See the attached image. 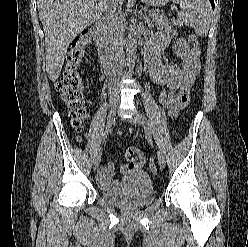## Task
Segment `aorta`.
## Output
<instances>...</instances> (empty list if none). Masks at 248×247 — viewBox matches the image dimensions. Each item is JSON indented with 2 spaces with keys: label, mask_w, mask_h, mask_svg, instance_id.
<instances>
[{
  "label": "aorta",
  "mask_w": 248,
  "mask_h": 247,
  "mask_svg": "<svg viewBox=\"0 0 248 247\" xmlns=\"http://www.w3.org/2000/svg\"><path fill=\"white\" fill-rule=\"evenodd\" d=\"M126 60L129 70H132L136 60L137 39L135 25L131 24L126 38Z\"/></svg>",
  "instance_id": "762f6f07"
}]
</instances>
